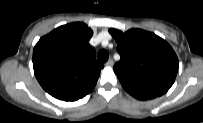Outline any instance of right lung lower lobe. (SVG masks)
Here are the masks:
<instances>
[{"label":"right lung lower lobe","instance_id":"obj_1","mask_svg":"<svg viewBox=\"0 0 203 123\" xmlns=\"http://www.w3.org/2000/svg\"><path fill=\"white\" fill-rule=\"evenodd\" d=\"M87 94H88V93H87ZM87 94L81 95V96H79V97H74V98H69V99H61V100H64V101H75V100H78V99L84 97V96L87 95Z\"/></svg>","mask_w":203,"mask_h":123}]
</instances>
